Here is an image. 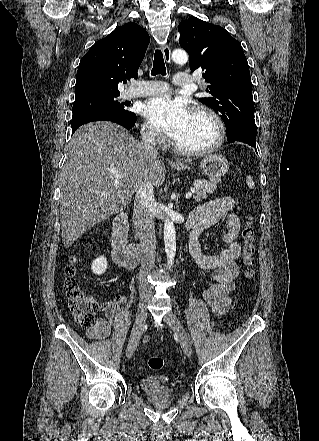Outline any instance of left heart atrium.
<instances>
[{
	"instance_id": "39dd6f15",
	"label": "left heart atrium",
	"mask_w": 319,
	"mask_h": 441,
	"mask_svg": "<svg viewBox=\"0 0 319 441\" xmlns=\"http://www.w3.org/2000/svg\"><path fill=\"white\" fill-rule=\"evenodd\" d=\"M142 114L155 128L173 139L179 135L190 117L184 102L168 95L148 99L143 104Z\"/></svg>"
}]
</instances>
